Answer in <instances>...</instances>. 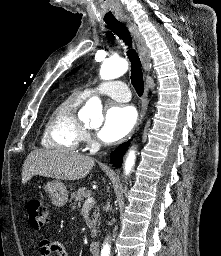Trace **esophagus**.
Segmentation results:
<instances>
[{"instance_id": "obj_1", "label": "esophagus", "mask_w": 221, "mask_h": 256, "mask_svg": "<svg viewBox=\"0 0 221 256\" xmlns=\"http://www.w3.org/2000/svg\"><path fill=\"white\" fill-rule=\"evenodd\" d=\"M122 21L127 24L130 31L132 32L139 55H140V59H141L143 68H144L145 72L149 73L150 68H151L150 52H149L148 47L146 46L143 36L138 31L136 25L131 21V19L129 17H126V16L123 17ZM147 107H148V101L145 99L142 104V110H141L140 117H139L138 123L136 125V128H138L139 124L142 123V120L145 116Z\"/></svg>"}]
</instances>
